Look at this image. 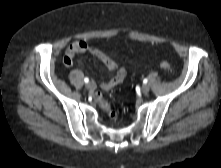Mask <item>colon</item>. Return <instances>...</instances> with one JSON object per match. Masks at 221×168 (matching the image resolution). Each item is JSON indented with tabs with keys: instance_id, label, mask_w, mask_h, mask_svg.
Returning a JSON list of instances; mask_svg holds the SVG:
<instances>
[{
	"instance_id": "colon-1",
	"label": "colon",
	"mask_w": 221,
	"mask_h": 168,
	"mask_svg": "<svg viewBox=\"0 0 221 168\" xmlns=\"http://www.w3.org/2000/svg\"><path fill=\"white\" fill-rule=\"evenodd\" d=\"M160 67L165 71H168V72L172 71L171 65L166 61L161 62ZM95 100L107 112V114L111 120H113V121L117 120L116 112L114 110H112V108L110 107L108 102L106 100H104V98L102 97V95L100 93L95 94Z\"/></svg>"
}]
</instances>
